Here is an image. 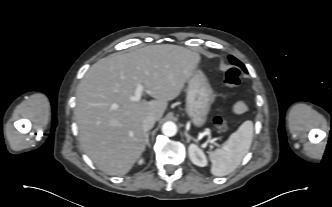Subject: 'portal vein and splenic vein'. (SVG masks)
Instances as JSON below:
<instances>
[{
    "label": "portal vein and splenic vein",
    "instance_id": "portal-vein-and-splenic-vein-1",
    "mask_svg": "<svg viewBox=\"0 0 332 207\" xmlns=\"http://www.w3.org/2000/svg\"><path fill=\"white\" fill-rule=\"evenodd\" d=\"M144 91V88L142 85H137L136 89H135V92H134V95L131 97V100L132 101H136V102H139L141 100V96H142V93ZM212 143H214L213 140H211Z\"/></svg>",
    "mask_w": 332,
    "mask_h": 207
}]
</instances>
